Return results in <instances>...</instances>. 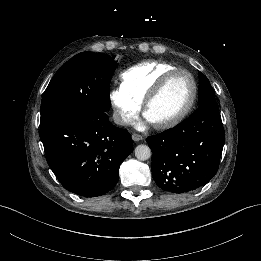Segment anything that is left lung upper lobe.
Here are the masks:
<instances>
[{"mask_svg":"<svg viewBox=\"0 0 261 261\" xmlns=\"http://www.w3.org/2000/svg\"><path fill=\"white\" fill-rule=\"evenodd\" d=\"M200 85H199V107L215 102V92L212 89L209 80L203 73H199Z\"/></svg>","mask_w":261,"mask_h":261,"instance_id":"1","label":"left lung upper lobe"}]
</instances>
